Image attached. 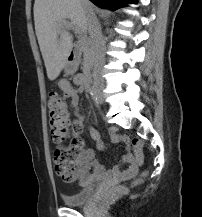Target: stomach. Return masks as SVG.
<instances>
[{"mask_svg":"<svg viewBox=\"0 0 202 217\" xmlns=\"http://www.w3.org/2000/svg\"><path fill=\"white\" fill-rule=\"evenodd\" d=\"M68 66L70 67V66H72V64L68 63Z\"/></svg>","mask_w":202,"mask_h":217,"instance_id":"obj_1","label":"stomach"}]
</instances>
